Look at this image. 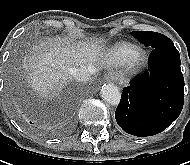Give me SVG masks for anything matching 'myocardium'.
<instances>
[{"instance_id": "obj_1", "label": "myocardium", "mask_w": 190, "mask_h": 165, "mask_svg": "<svg viewBox=\"0 0 190 165\" xmlns=\"http://www.w3.org/2000/svg\"><path fill=\"white\" fill-rule=\"evenodd\" d=\"M147 64V54L142 49H137L127 60L126 65L129 71L137 72Z\"/></svg>"}]
</instances>
